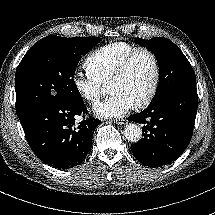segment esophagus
Returning a JSON list of instances; mask_svg holds the SVG:
<instances>
[{
    "mask_svg": "<svg viewBox=\"0 0 215 215\" xmlns=\"http://www.w3.org/2000/svg\"><path fill=\"white\" fill-rule=\"evenodd\" d=\"M127 121L125 119H119V120H115V123L118 125H123L125 124Z\"/></svg>",
    "mask_w": 215,
    "mask_h": 215,
    "instance_id": "34e87169",
    "label": "esophagus"
}]
</instances>
